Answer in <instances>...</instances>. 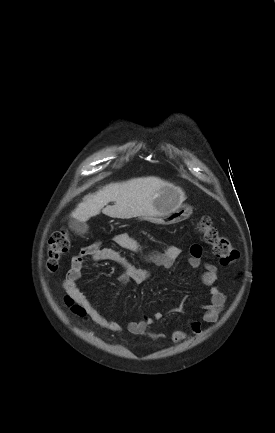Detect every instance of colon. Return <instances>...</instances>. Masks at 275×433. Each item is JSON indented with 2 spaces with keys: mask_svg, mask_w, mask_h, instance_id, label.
I'll list each match as a JSON object with an SVG mask.
<instances>
[{
  "mask_svg": "<svg viewBox=\"0 0 275 433\" xmlns=\"http://www.w3.org/2000/svg\"><path fill=\"white\" fill-rule=\"evenodd\" d=\"M198 230L204 241L211 246L213 254L224 265L235 263L239 258L238 251L233 248L229 241L220 235L210 217L204 216L198 223ZM70 247V236L65 228L54 231L49 239L47 247L46 266L49 271H56L59 268L60 260L67 253ZM66 304L79 315L83 314V308L75 305L69 297L65 299Z\"/></svg>",
  "mask_w": 275,
  "mask_h": 433,
  "instance_id": "colon-1",
  "label": "colon"
}]
</instances>
